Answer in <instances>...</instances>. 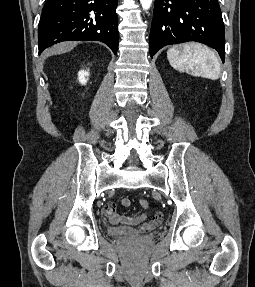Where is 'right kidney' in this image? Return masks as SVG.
<instances>
[{"label":"right kidney","instance_id":"ca27d5eb","mask_svg":"<svg viewBox=\"0 0 255 287\" xmlns=\"http://www.w3.org/2000/svg\"><path fill=\"white\" fill-rule=\"evenodd\" d=\"M78 76L79 82H81V84H86V76H89L88 72H85V70H81V72H78Z\"/></svg>","mask_w":255,"mask_h":287}]
</instances>
